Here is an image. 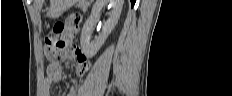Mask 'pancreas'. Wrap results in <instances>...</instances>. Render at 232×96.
<instances>
[{"mask_svg":"<svg viewBox=\"0 0 232 96\" xmlns=\"http://www.w3.org/2000/svg\"><path fill=\"white\" fill-rule=\"evenodd\" d=\"M77 7L80 8L81 11L85 12L87 10V8H88V4L84 3V2H81V3L78 4Z\"/></svg>","mask_w":232,"mask_h":96,"instance_id":"cf45deb5","label":"pancreas"}]
</instances>
